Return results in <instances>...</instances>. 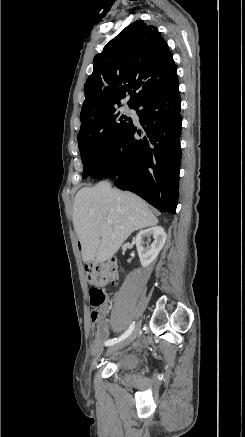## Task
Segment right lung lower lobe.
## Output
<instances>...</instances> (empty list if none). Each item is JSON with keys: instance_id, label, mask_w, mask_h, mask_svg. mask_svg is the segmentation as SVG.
Wrapping results in <instances>:
<instances>
[{"instance_id": "obj_1", "label": "right lung lower lobe", "mask_w": 245, "mask_h": 437, "mask_svg": "<svg viewBox=\"0 0 245 437\" xmlns=\"http://www.w3.org/2000/svg\"><path fill=\"white\" fill-rule=\"evenodd\" d=\"M180 105L179 85L139 100L133 109L143 131L132 121L90 176L115 179L118 188L136 193L160 212L175 214L182 157Z\"/></svg>"}]
</instances>
